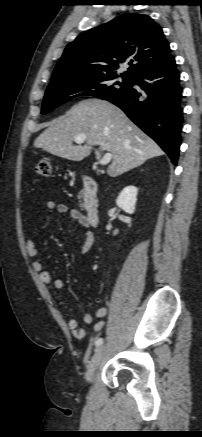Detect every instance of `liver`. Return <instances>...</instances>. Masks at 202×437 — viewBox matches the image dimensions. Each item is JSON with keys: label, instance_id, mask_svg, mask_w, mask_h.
I'll list each match as a JSON object with an SVG mask.
<instances>
[{"label": "liver", "instance_id": "liver-1", "mask_svg": "<svg viewBox=\"0 0 202 437\" xmlns=\"http://www.w3.org/2000/svg\"><path fill=\"white\" fill-rule=\"evenodd\" d=\"M80 134L86 136L85 144L73 146V140ZM93 146H100L112 154L107 169L110 177H117L164 154L120 108L100 99L77 103L66 115L51 121L34 142L36 148L73 161L89 156Z\"/></svg>", "mask_w": 202, "mask_h": 437}]
</instances>
